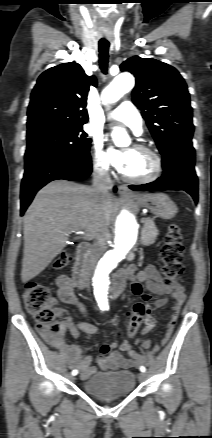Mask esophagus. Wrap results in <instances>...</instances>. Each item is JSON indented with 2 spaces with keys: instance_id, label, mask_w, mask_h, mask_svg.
<instances>
[{
  "instance_id": "34e87169",
  "label": "esophagus",
  "mask_w": 212,
  "mask_h": 438,
  "mask_svg": "<svg viewBox=\"0 0 212 438\" xmlns=\"http://www.w3.org/2000/svg\"><path fill=\"white\" fill-rule=\"evenodd\" d=\"M119 193L122 196H130L133 194L126 185L119 186Z\"/></svg>"
}]
</instances>
